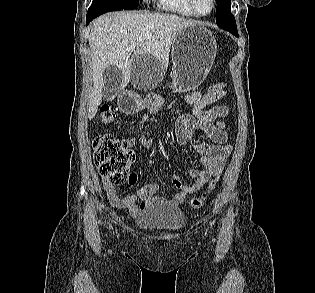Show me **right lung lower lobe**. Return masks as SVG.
I'll list each match as a JSON object with an SVG mask.
<instances>
[{
  "label": "right lung lower lobe",
  "mask_w": 315,
  "mask_h": 293,
  "mask_svg": "<svg viewBox=\"0 0 315 293\" xmlns=\"http://www.w3.org/2000/svg\"><path fill=\"white\" fill-rule=\"evenodd\" d=\"M128 10L109 1L92 2L87 12L86 26L96 17L109 11Z\"/></svg>",
  "instance_id": "1"
}]
</instances>
